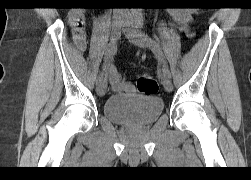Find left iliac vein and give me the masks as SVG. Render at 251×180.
Returning <instances> with one entry per match:
<instances>
[{
	"label": "left iliac vein",
	"instance_id": "4c4485c4",
	"mask_svg": "<svg viewBox=\"0 0 251 180\" xmlns=\"http://www.w3.org/2000/svg\"><path fill=\"white\" fill-rule=\"evenodd\" d=\"M124 33L126 37L136 46L141 47V48H146L149 46L147 37L141 31L131 28V29L124 30ZM161 82L167 92L172 91L173 85L168 76L163 75L161 78Z\"/></svg>",
	"mask_w": 251,
	"mask_h": 180
}]
</instances>
